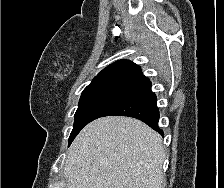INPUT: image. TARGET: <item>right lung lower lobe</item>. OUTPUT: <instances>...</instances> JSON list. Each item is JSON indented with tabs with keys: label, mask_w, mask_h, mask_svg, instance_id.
<instances>
[{
	"label": "right lung lower lobe",
	"mask_w": 224,
	"mask_h": 188,
	"mask_svg": "<svg viewBox=\"0 0 224 188\" xmlns=\"http://www.w3.org/2000/svg\"><path fill=\"white\" fill-rule=\"evenodd\" d=\"M113 115L137 118L163 134L157 126L159 110L156 95L151 90L150 80L142 74L101 106L91 117L90 122L99 117Z\"/></svg>",
	"instance_id": "obj_1"
}]
</instances>
